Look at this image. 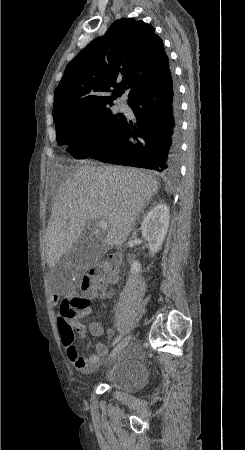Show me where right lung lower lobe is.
I'll use <instances>...</instances> for the list:
<instances>
[{"label":"right lung lower lobe","instance_id":"right-lung-lower-lobe-1","mask_svg":"<svg viewBox=\"0 0 245 450\" xmlns=\"http://www.w3.org/2000/svg\"><path fill=\"white\" fill-rule=\"evenodd\" d=\"M137 118L125 120L114 142L90 157L119 165L177 173L180 163L179 102L166 69L128 102Z\"/></svg>","mask_w":245,"mask_h":450}]
</instances>
